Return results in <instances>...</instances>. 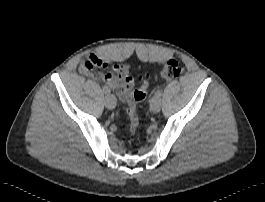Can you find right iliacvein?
Listing matches in <instances>:
<instances>
[{
	"instance_id": "right-iliac-vein-1",
	"label": "right iliac vein",
	"mask_w": 265,
	"mask_h": 202,
	"mask_svg": "<svg viewBox=\"0 0 265 202\" xmlns=\"http://www.w3.org/2000/svg\"><path fill=\"white\" fill-rule=\"evenodd\" d=\"M105 105L108 109H113L116 106V99L113 95H107Z\"/></svg>"
}]
</instances>
